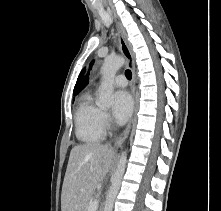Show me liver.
I'll return each instance as SVG.
<instances>
[{
	"mask_svg": "<svg viewBox=\"0 0 221 211\" xmlns=\"http://www.w3.org/2000/svg\"><path fill=\"white\" fill-rule=\"evenodd\" d=\"M114 155L112 148L97 143L72 148L62 187V211H84L86 198L109 172Z\"/></svg>",
	"mask_w": 221,
	"mask_h": 211,
	"instance_id": "liver-1",
	"label": "liver"
}]
</instances>
